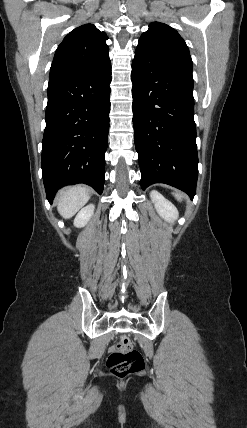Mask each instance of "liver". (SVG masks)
Returning a JSON list of instances; mask_svg holds the SVG:
<instances>
[{
  "label": "liver",
  "mask_w": 247,
  "mask_h": 428,
  "mask_svg": "<svg viewBox=\"0 0 247 428\" xmlns=\"http://www.w3.org/2000/svg\"><path fill=\"white\" fill-rule=\"evenodd\" d=\"M89 200L85 186L76 185L59 192L57 209L64 219L73 217Z\"/></svg>",
  "instance_id": "obj_1"
}]
</instances>
